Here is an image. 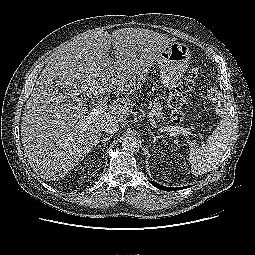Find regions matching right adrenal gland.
Here are the masks:
<instances>
[{"label": "right adrenal gland", "mask_w": 255, "mask_h": 255, "mask_svg": "<svg viewBox=\"0 0 255 255\" xmlns=\"http://www.w3.org/2000/svg\"><path fill=\"white\" fill-rule=\"evenodd\" d=\"M112 138V136H109V137H103L102 139H100L99 141H101L104 145L106 144V142L108 140H110ZM99 143V142H98Z\"/></svg>", "instance_id": "2a0ac1e0"}]
</instances>
